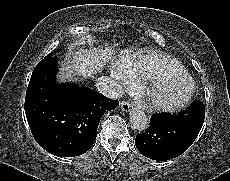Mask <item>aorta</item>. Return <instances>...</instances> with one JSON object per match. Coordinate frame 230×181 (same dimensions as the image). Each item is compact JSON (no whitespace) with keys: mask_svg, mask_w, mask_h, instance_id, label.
<instances>
[{"mask_svg":"<svg viewBox=\"0 0 230 181\" xmlns=\"http://www.w3.org/2000/svg\"><path fill=\"white\" fill-rule=\"evenodd\" d=\"M130 123L134 129L141 132L149 126V120L144 111L136 108L130 111Z\"/></svg>","mask_w":230,"mask_h":181,"instance_id":"1","label":"aorta"}]
</instances>
